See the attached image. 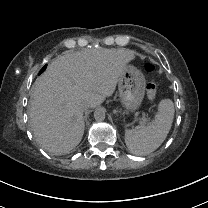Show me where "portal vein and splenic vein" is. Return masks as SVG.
<instances>
[{
    "instance_id": "portal-vein-and-splenic-vein-1",
    "label": "portal vein and splenic vein",
    "mask_w": 208,
    "mask_h": 208,
    "mask_svg": "<svg viewBox=\"0 0 208 208\" xmlns=\"http://www.w3.org/2000/svg\"><path fill=\"white\" fill-rule=\"evenodd\" d=\"M140 121H141L143 124H144V123H146V120H145V115H143V116H142V118H141V120H140Z\"/></svg>"
}]
</instances>
